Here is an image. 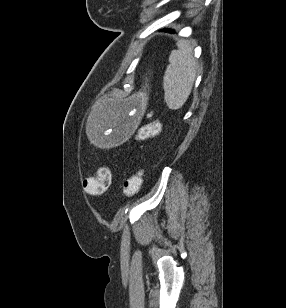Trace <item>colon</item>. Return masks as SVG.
<instances>
[{"label": "colon", "mask_w": 286, "mask_h": 308, "mask_svg": "<svg viewBox=\"0 0 286 308\" xmlns=\"http://www.w3.org/2000/svg\"><path fill=\"white\" fill-rule=\"evenodd\" d=\"M159 132V123L153 122L140 128L136 133V139L144 140ZM111 171L107 167H101L96 177L84 179L83 187L86 191L93 194H101L107 191L111 184ZM143 182V170L139 169L125 179L123 184V194L126 197L134 196L140 189Z\"/></svg>", "instance_id": "5ec220e1"}]
</instances>
